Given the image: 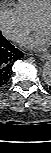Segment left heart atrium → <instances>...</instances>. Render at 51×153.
Listing matches in <instances>:
<instances>
[{
    "mask_svg": "<svg viewBox=\"0 0 51 153\" xmlns=\"http://www.w3.org/2000/svg\"><path fill=\"white\" fill-rule=\"evenodd\" d=\"M49 35L41 30L38 31L34 36L28 37L23 41V44L29 48L40 49L49 44Z\"/></svg>",
    "mask_w": 51,
    "mask_h": 153,
    "instance_id": "left-heart-atrium-1",
    "label": "left heart atrium"
}]
</instances>
